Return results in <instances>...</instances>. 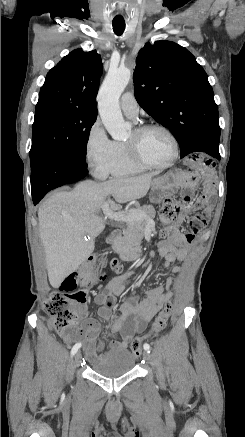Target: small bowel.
<instances>
[{
	"instance_id": "c3829d8e",
	"label": "small bowel",
	"mask_w": 245,
	"mask_h": 437,
	"mask_svg": "<svg viewBox=\"0 0 245 437\" xmlns=\"http://www.w3.org/2000/svg\"><path fill=\"white\" fill-rule=\"evenodd\" d=\"M188 168L191 175H204L205 180H217V166L208 154H202L200 150H191L188 153ZM190 192L185 193L186 199L190 200ZM193 205L199 206L200 200H192ZM186 213L182 212L174 224L165 228L166 238L161 240L155 251L150 253L151 257L156 254L162 257V266L168 268L177 259H183L188 246L193 242L192 233L183 234L179 230L180 224L185 220ZM207 211H201L190 222L191 229L196 232L207 222ZM180 271L179 266L172 268L173 273ZM126 276L112 279L106 288L98 293L95 302L98 305V315L108 322L112 332L119 334L120 339L112 340L109 343L98 341L99 324L91 318H85L82 324L83 334L80 337H69L62 335L68 343L80 339L84 343V350L90 361H96L100 356L111 350L126 349L128 342L138 334H141L148 322L159 312L163 305L169 300L170 294L164 292L163 286H155L147 290L145 297L138 301L134 290H128L125 295V302L119 307V315H113L116 296L124 292ZM173 280L169 279L168 287H171ZM81 316L86 315V309H80Z\"/></svg>"
}]
</instances>
